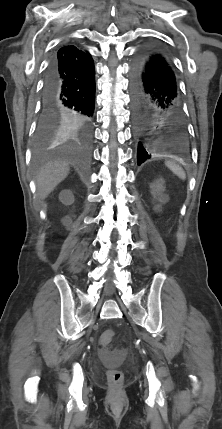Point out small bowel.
Returning <instances> with one entry per match:
<instances>
[{"mask_svg": "<svg viewBox=\"0 0 222 429\" xmlns=\"http://www.w3.org/2000/svg\"><path fill=\"white\" fill-rule=\"evenodd\" d=\"M101 354L105 357V358H109L111 356V352H109L106 349H102L101 350Z\"/></svg>", "mask_w": 222, "mask_h": 429, "instance_id": "c3829d8e", "label": "small bowel"}]
</instances>
